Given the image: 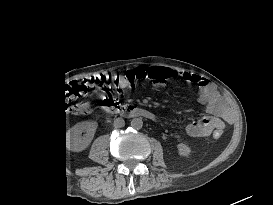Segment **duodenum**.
I'll return each mask as SVG.
<instances>
[{
	"label": "duodenum",
	"instance_id": "obj_1",
	"mask_svg": "<svg viewBox=\"0 0 273 205\" xmlns=\"http://www.w3.org/2000/svg\"><path fill=\"white\" fill-rule=\"evenodd\" d=\"M106 108L109 111L119 113L126 117L141 116V117H146L149 119L154 118V115L150 113L149 111H147L146 109L131 106V105H122V104L114 102L113 100L106 101Z\"/></svg>",
	"mask_w": 273,
	"mask_h": 205
}]
</instances>
